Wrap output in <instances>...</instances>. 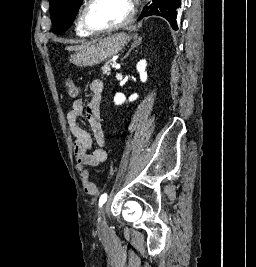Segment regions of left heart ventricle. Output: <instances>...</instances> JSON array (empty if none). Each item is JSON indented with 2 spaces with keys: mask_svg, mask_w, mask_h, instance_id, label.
Listing matches in <instances>:
<instances>
[{
  "mask_svg": "<svg viewBox=\"0 0 256 267\" xmlns=\"http://www.w3.org/2000/svg\"><path fill=\"white\" fill-rule=\"evenodd\" d=\"M130 10L127 5L115 0H98L88 9L89 21L98 28H105L126 21Z\"/></svg>",
  "mask_w": 256,
  "mask_h": 267,
  "instance_id": "obj_1",
  "label": "left heart ventricle"
}]
</instances>
